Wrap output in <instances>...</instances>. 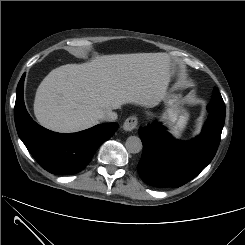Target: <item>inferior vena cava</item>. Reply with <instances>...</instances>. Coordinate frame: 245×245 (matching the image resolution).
Wrapping results in <instances>:
<instances>
[{
  "instance_id": "602c4592",
  "label": "inferior vena cava",
  "mask_w": 245,
  "mask_h": 245,
  "mask_svg": "<svg viewBox=\"0 0 245 245\" xmlns=\"http://www.w3.org/2000/svg\"><path fill=\"white\" fill-rule=\"evenodd\" d=\"M117 117L118 116L116 112L109 110L102 115L101 119L107 122H114L117 120Z\"/></svg>"
}]
</instances>
